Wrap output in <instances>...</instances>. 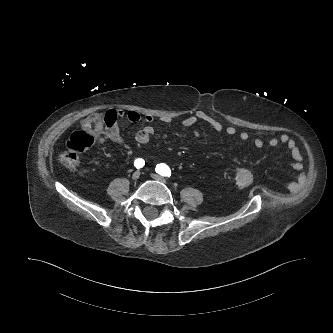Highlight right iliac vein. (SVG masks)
I'll return each instance as SVG.
<instances>
[{
	"mask_svg": "<svg viewBox=\"0 0 333 333\" xmlns=\"http://www.w3.org/2000/svg\"><path fill=\"white\" fill-rule=\"evenodd\" d=\"M140 177V172L139 171H135L133 174H132V179L133 180H138Z\"/></svg>",
	"mask_w": 333,
	"mask_h": 333,
	"instance_id": "63e3f726",
	"label": "right iliac vein"
}]
</instances>
